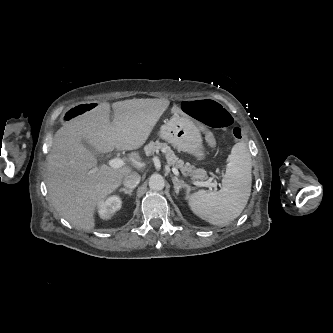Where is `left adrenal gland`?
Returning a JSON list of instances; mask_svg holds the SVG:
<instances>
[{
	"label": "left adrenal gland",
	"mask_w": 333,
	"mask_h": 333,
	"mask_svg": "<svg viewBox=\"0 0 333 333\" xmlns=\"http://www.w3.org/2000/svg\"><path fill=\"white\" fill-rule=\"evenodd\" d=\"M172 182H173L176 194H178L180 189H182V188L186 189L187 194L190 192V186L187 185L183 180H179L176 176L172 178Z\"/></svg>",
	"instance_id": "obj_1"
}]
</instances>
